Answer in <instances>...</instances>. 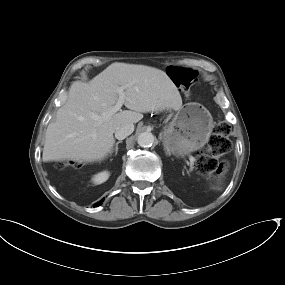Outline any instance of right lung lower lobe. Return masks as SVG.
Returning <instances> with one entry per match:
<instances>
[{
    "instance_id": "obj_1",
    "label": "right lung lower lobe",
    "mask_w": 285,
    "mask_h": 285,
    "mask_svg": "<svg viewBox=\"0 0 285 285\" xmlns=\"http://www.w3.org/2000/svg\"><path fill=\"white\" fill-rule=\"evenodd\" d=\"M103 200H104V199H103ZM103 200H102V201H103ZM102 201L97 202L94 206H96V207L100 206V205L102 204Z\"/></svg>"
}]
</instances>
